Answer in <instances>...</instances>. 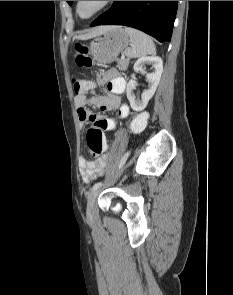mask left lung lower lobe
I'll return each mask as SVG.
<instances>
[{"label":"left lung lower lobe","instance_id":"left-lung-lower-lobe-1","mask_svg":"<svg viewBox=\"0 0 233 295\" xmlns=\"http://www.w3.org/2000/svg\"><path fill=\"white\" fill-rule=\"evenodd\" d=\"M177 5L178 1H114L112 7L90 26L126 25L160 42L170 41Z\"/></svg>","mask_w":233,"mask_h":295}]
</instances>
